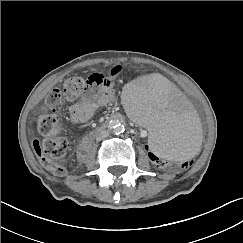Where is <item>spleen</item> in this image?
<instances>
[{
	"mask_svg": "<svg viewBox=\"0 0 243 243\" xmlns=\"http://www.w3.org/2000/svg\"><path fill=\"white\" fill-rule=\"evenodd\" d=\"M123 106L131 118L147 124L146 144L160 158L185 162L198 152L195 114L170 80L156 74L136 77L123 92Z\"/></svg>",
	"mask_w": 243,
	"mask_h": 243,
	"instance_id": "3e777b00",
	"label": "spleen"
}]
</instances>
